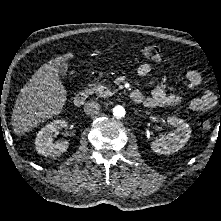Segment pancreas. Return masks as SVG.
Masks as SVG:
<instances>
[{
    "instance_id": "obj_1",
    "label": "pancreas",
    "mask_w": 221,
    "mask_h": 221,
    "mask_svg": "<svg viewBox=\"0 0 221 221\" xmlns=\"http://www.w3.org/2000/svg\"><path fill=\"white\" fill-rule=\"evenodd\" d=\"M92 92L96 93L98 97L108 98L116 93V90H111L109 87L102 84H93L90 89Z\"/></svg>"
}]
</instances>
